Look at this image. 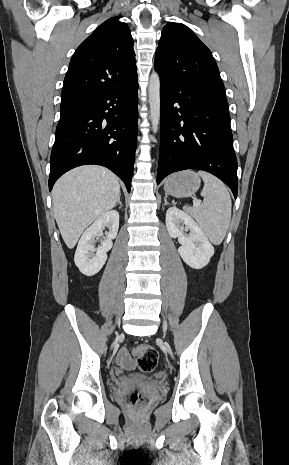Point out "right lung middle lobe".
Returning <instances> with one entry per match:
<instances>
[{
  "instance_id": "right-lung-middle-lobe-1",
  "label": "right lung middle lobe",
  "mask_w": 289,
  "mask_h": 465,
  "mask_svg": "<svg viewBox=\"0 0 289 465\" xmlns=\"http://www.w3.org/2000/svg\"><path fill=\"white\" fill-rule=\"evenodd\" d=\"M82 109V103H73L68 105H62L60 107V121H64L66 119L71 118L77 112Z\"/></svg>"
}]
</instances>
